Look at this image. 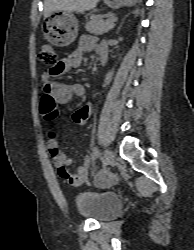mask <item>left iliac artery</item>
Wrapping results in <instances>:
<instances>
[{"label":"left iliac artery","mask_w":194,"mask_h":250,"mask_svg":"<svg viewBox=\"0 0 194 250\" xmlns=\"http://www.w3.org/2000/svg\"><path fill=\"white\" fill-rule=\"evenodd\" d=\"M100 155L98 147H94L93 149V159H96Z\"/></svg>","instance_id":"44dca946"}]
</instances>
